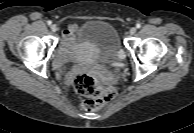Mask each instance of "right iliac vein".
I'll return each instance as SVG.
<instances>
[{"instance_id":"63e3f726","label":"right iliac vein","mask_w":194,"mask_h":133,"mask_svg":"<svg viewBox=\"0 0 194 133\" xmlns=\"http://www.w3.org/2000/svg\"><path fill=\"white\" fill-rule=\"evenodd\" d=\"M50 28L52 32H56L58 30V27L55 24L51 25Z\"/></svg>"}]
</instances>
